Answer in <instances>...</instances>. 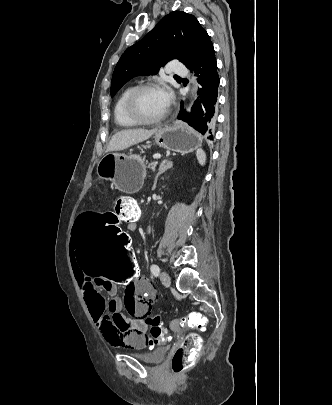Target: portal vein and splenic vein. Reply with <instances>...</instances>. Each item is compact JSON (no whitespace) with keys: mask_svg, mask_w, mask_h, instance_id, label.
Masks as SVG:
<instances>
[{"mask_svg":"<svg viewBox=\"0 0 332 405\" xmlns=\"http://www.w3.org/2000/svg\"><path fill=\"white\" fill-rule=\"evenodd\" d=\"M160 157H161V155H159V154L154 155V159H159ZM155 164H157V162H155Z\"/></svg>","mask_w":332,"mask_h":405,"instance_id":"18ae733b","label":"portal vein and splenic vein"}]
</instances>
